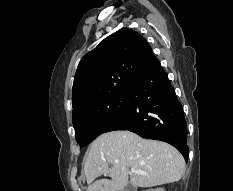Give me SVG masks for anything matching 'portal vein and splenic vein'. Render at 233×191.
<instances>
[{"label": "portal vein and splenic vein", "mask_w": 233, "mask_h": 191, "mask_svg": "<svg viewBox=\"0 0 233 191\" xmlns=\"http://www.w3.org/2000/svg\"><path fill=\"white\" fill-rule=\"evenodd\" d=\"M131 173L140 174V175H147V173L140 171V170H136L135 168H131Z\"/></svg>", "instance_id": "1"}]
</instances>
